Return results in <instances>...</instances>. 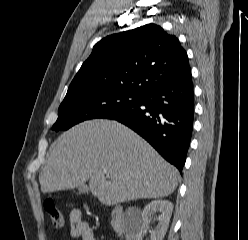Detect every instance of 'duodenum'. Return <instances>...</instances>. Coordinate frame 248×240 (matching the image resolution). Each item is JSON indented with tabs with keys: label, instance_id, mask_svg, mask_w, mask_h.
Returning <instances> with one entry per match:
<instances>
[{
	"label": "duodenum",
	"instance_id": "1",
	"mask_svg": "<svg viewBox=\"0 0 248 240\" xmlns=\"http://www.w3.org/2000/svg\"><path fill=\"white\" fill-rule=\"evenodd\" d=\"M111 228L116 233H124L126 222L124 220V210L121 206H114L111 209Z\"/></svg>",
	"mask_w": 248,
	"mask_h": 240
}]
</instances>
